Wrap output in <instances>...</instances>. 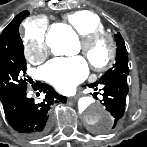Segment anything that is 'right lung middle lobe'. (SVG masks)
I'll list each match as a JSON object with an SVG mask.
<instances>
[{
    "label": "right lung middle lobe",
    "instance_id": "dd1d6c3e",
    "mask_svg": "<svg viewBox=\"0 0 147 147\" xmlns=\"http://www.w3.org/2000/svg\"><path fill=\"white\" fill-rule=\"evenodd\" d=\"M28 15L27 10L17 15L0 40V98L27 88V79L22 78L26 72V60L19 25Z\"/></svg>",
    "mask_w": 147,
    "mask_h": 147
}]
</instances>
